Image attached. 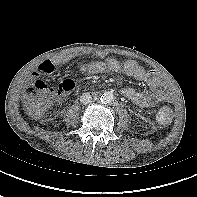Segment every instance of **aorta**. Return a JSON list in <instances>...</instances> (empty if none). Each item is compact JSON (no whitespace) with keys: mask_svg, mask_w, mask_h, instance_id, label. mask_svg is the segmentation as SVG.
<instances>
[{"mask_svg":"<svg viewBox=\"0 0 197 197\" xmlns=\"http://www.w3.org/2000/svg\"><path fill=\"white\" fill-rule=\"evenodd\" d=\"M113 99H114V95L111 91L104 92L100 97L101 102L104 104L111 103Z\"/></svg>","mask_w":197,"mask_h":197,"instance_id":"aorta-1","label":"aorta"}]
</instances>
